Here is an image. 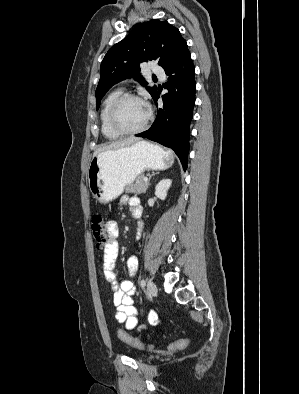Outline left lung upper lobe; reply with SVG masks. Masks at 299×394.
<instances>
[{
  "label": "left lung upper lobe",
  "instance_id": "obj_1",
  "mask_svg": "<svg viewBox=\"0 0 299 394\" xmlns=\"http://www.w3.org/2000/svg\"><path fill=\"white\" fill-rule=\"evenodd\" d=\"M186 41L179 30L167 21L152 19L137 25L127 37L115 44L105 55L101 63V76L96 89V109L102 97L116 83L136 77L143 86L147 82L140 75V64L148 60H157L165 69L172 64ZM154 97L157 88L147 87Z\"/></svg>",
  "mask_w": 299,
  "mask_h": 394
}]
</instances>
